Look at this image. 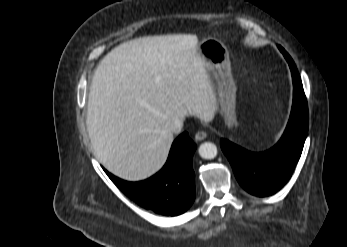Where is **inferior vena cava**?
<instances>
[{
    "label": "inferior vena cava",
    "mask_w": 347,
    "mask_h": 247,
    "mask_svg": "<svg viewBox=\"0 0 347 247\" xmlns=\"http://www.w3.org/2000/svg\"><path fill=\"white\" fill-rule=\"evenodd\" d=\"M181 129H182V122L181 120L177 119L169 126L168 131L172 134L173 133L178 134L181 132Z\"/></svg>",
    "instance_id": "1"
}]
</instances>
